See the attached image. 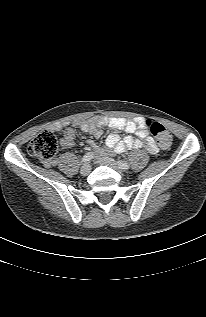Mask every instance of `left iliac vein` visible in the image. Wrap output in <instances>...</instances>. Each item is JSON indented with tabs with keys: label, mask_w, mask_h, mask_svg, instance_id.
<instances>
[{
	"label": "left iliac vein",
	"mask_w": 206,
	"mask_h": 317,
	"mask_svg": "<svg viewBox=\"0 0 206 317\" xmlns=\"http://www.w3.org/2000/svg\"><path fill=\"white\" fill-rule=\"evenodd\" d=\"M98 162L100 164H103V165H107L113 169H115L116 171L118 172H122V169L120 168V166L118 165V163L113 160L112 158H109V157H101L98 159Z\"/></svg>",
	"instance_id": "left-iliac-vein-1"
}]
</instances>
